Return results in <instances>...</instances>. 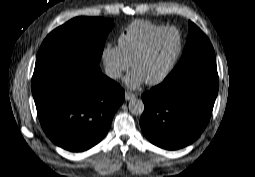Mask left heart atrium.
Instances as JSON below:
<instances>
[{"label":"left heart atrium","mask_w":255,"mask_h":177,"mask_svg":"<svg viewBox=\"0 0 255 177\" xmlns=\"http://www.w3.org/2000/svg\"><path fill=\"white\" fill-rule=\"evenodd\" d=\"M124 82L130 89L135 90L143 85L145 79L136 70H133L125 77Z\"/></svg>","instance_id":"39dd6f15"}]
</instances>
